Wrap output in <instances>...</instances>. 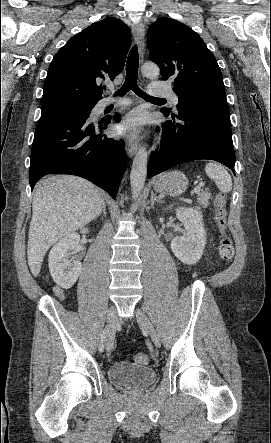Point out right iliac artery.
Returning <instances> with one entry per match:
<instances>
[{
    "mask_svg": "<svg viewBox=\"0 0 271 443\" xmlns=\"http://www.w3.org/2000/svg\"><path fill=\"white\" fill-rule=\"evenodd\" d=\"M109 331H110V325L106 326L105 329L102 332L100 344H99V347H98L100 352H103V350H104V340L107 337V335L109 334Z\"/></svg>",
    "mask_w": 271,
    "mask_h": 443,
    "instance_id": "right-iliac-artery-1",
    "label": "right iliac artery"
}]
</instances>
